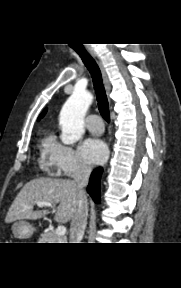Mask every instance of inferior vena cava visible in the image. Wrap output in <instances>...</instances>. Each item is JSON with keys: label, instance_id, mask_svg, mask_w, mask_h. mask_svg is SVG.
I'll return each mask as SVG.
<instances>
[{"label": "inferior vena cava", "instance_id": "602c4592", "mask_svg": "<svg viewBox=\"0 0 181 288\" xmlns=\"http://www.w3.org/2000/svg\"><path fill=\"white\" fill-rule=\"evenodd\" d=\"M91 167L80 163L73 179L78 193L77 213L71 220L69 243H81L87 224L88 201L84 188L88 185Z\"/></svg>", "mask_w": 181, "mask_h": 288}]
</instances>
